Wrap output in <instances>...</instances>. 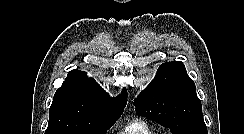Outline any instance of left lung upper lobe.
<instances>
[{
	"instance_id": "left-lung-upper-lobe-1",
	"label": "left lung upper lobe",
	"mask_w": 244,
	"mask_h": 134,
	"mask_svg": "<svg viewBox=\"0 0 244 134\" xmlns=\"http://www.w3.org/2000/svg\"><path fill=\"white\" fill-rule=\"evenodd\" d=\"M134 105L138 114L170 128L173 134H208L195 84L180 61L161 64Z\"/></svg>"
}]
</instances>
